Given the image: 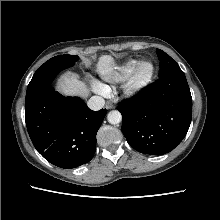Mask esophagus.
I'll return each mask as SVG.
<instances>
[{
	"instance_id": "1",
	"label": "esophagus",
	"mask_w": 220,
	"mask_h": 220,
	"mask_svg": "<svg viewBox=\"0 0 220 220\" xmlns=\"http://www.w3.org/2000/svg\"><path fill=\"white\" fill-rule=\"evenodd\" d=\"M106 108H107V109H113V108H114V105H113L112 103H110V102H107V103H106Z\"/></svg>"
}]
</instances>
